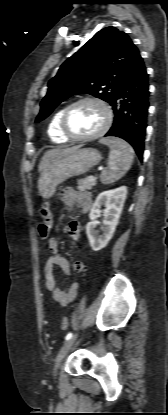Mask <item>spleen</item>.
Instances as JSON below:
<instances>
[{
    "label": "spleen",
    "instance_id": "3e777b00",
    "mask_svg": "<svg viewBox=\"0 0 168 415\" xmlns=\"http://www.w3.org/2000/svg\"><path fill=\"white\" fill-rule=\"evenodd\" d=\"M100 142L110 148L108 168L100 175L102 184L108 185L122 178L130 169L134 151L128 143L118 138H104Z\"/></svg>",
    "mask_w": 168,
    "mask_h": 415
}]
</instances>
